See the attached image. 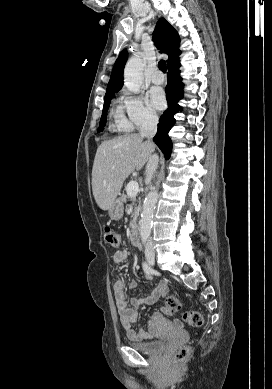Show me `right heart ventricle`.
<instances>
[{"label":"right heart ventricle","instance_id":"e07e8e85","mask_svg":"<svg viewBox=\"0 0 272 389\" xmlns=\"http://www.w3.org/2000/svg\"><path fill=\"white\" fill-rule=\"evenodd\" d=\"M112 123L111 128L116 132H128L131 130V126L127 119L124 117L121 106H115L111 109L110 113Z\"/></svg>","mask_w":272,"mask_h":389}]
</instances>
